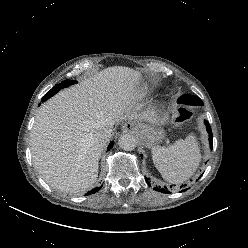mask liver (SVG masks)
<instances>
[{"label": "liver", "mask_w": 248, "mask_h": 248, "mask_svg": "<svg viewBox=\"0 0 248 248\" xmlns=\"http://www.w3.org/2000/svg\"><path fill=\"white\" fill-rule=\"evenodd\" d=\"M139 79L132 68L108 67L40 107L30 134L31 153L50 186L71 194L94 186L106 146L96 143L94 134L113 128L119 119H137L131 109Z\"/></svg>", "instance_id": "liver-1"}]
</instances>
